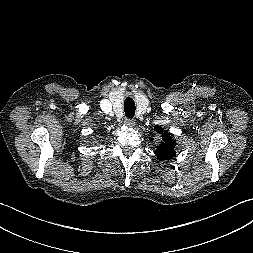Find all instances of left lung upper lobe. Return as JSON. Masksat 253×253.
<instances>
[{"instance_id": "1", "label": "left lung upper lobe", "mask_w": 253, "mask_h": 253, "mask_svg": "<svg viewBox=\"0 0 253 253\" xmlns=\"http://www.w3.org/2000/svg\"><path fill=\"white\" fill-rule=\"evenodd\" d=\"M154 130L162 134L163 142L161 145L156 146L154 154L161 160H168L173 158L176 155L174 150L176 146V141L172 138V134H168L167 131H164L161 126H155Z\"/></svg>"}]
</instances>
